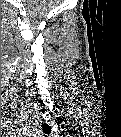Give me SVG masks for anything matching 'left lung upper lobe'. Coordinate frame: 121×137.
I'll list each match as a JSON object with an SVG mask.
<instances>
[{
    "label": "left lung upper lobe",
    "mask_w": 121,
    "mask_h": 137,
    "mask_svg": "<svg viewBox=\"0 0 121 137\" xmlns=\"http://www.w3.org/2000/svg\"><path fill=\"white\" fill-rule=\"evenodd\" d=\"M43 130H44L45 133H49L50 132V128H49L48 125H44Z\"/></svg>",
    "instance_id": "5c2ea615"
}]
</instances>
